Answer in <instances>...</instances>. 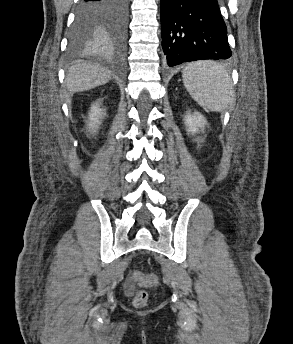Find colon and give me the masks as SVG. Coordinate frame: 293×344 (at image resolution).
<instances>
[{
    "mask_svg": "<svg viewBox=\"0 0 293 344\" xmlns=\"http://www.w3.org/2000/svg\"><path fill=\"white\" fill-rule=\"evenodd\" d=\"M130 281L133 283L143 282V281L154 282L155 277L144 275L139 272H134L130 275ZM147 302H148V293L145 290L136 291L134 300H133L134 306L137 308H143L147 305Z\"/></svg>",
    "mask_w": 293,
    "mask_h": 344,
    "instance_id": "obj_1",
    "label": "colon"
}]
</instances>
